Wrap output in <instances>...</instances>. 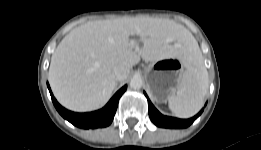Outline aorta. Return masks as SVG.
Returning <instances> with one entry per match:
<instances>
[{
	"mask_svg": "<svg viewBox=\"0 0 261 150\" xmlns=\"http://www.w3.org/2000/svg\"><path fill=\"white\" fill-rule=\"evenodd\" d=\"M143 86V79L140 76H134L131 80H130V87L132 89H140Z\"/></svg>",
	"mask_w": 261,
	"mask_h": 150,
	"instance_id": "aorta-1",
	"label": "aorta"
}]
</instances>
